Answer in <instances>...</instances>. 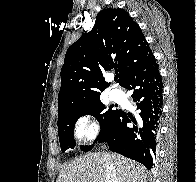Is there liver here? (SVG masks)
I'll list each match as a JSON object with an SVG mask.
<instances>
[{
	"label": "liver",
	"instance_id": "liver-1",
	"mask_svg": "<svg viewBox=\"0 0 196 182\" xmlns=\"http://www.w3.org/2000/svg\"><path fill=\"white\" fill-rule=\"evenodd\" d=\"M113 164L118 182H147L146 169L116 153H88L61 169L56 182H106L105 163Z\"/></svg>",
	"mask_w": 196,
	"mask_h": 182
}]
</instances>
